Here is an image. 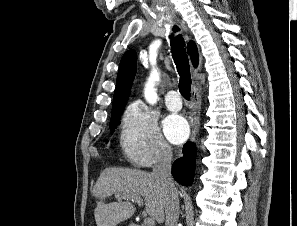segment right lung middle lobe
<instances>
[{
    "label": "right lung middle lobe",
    "mask_w": 297,
    "mask_h": 226,
    "mask_svg": "<svg viewBox=\"0 0 297 226\" xmlns=\"http://www.w3.org/2000/svg\"><path fill=\"white\" fill-rule=\"evenodd\" d=\"M124 107L125 105L112 109V116H111V122H110V128L112 133L114 132V129L116 128L117 124H119V120L124 110Z\"/></svg>",
    "instance_id": "obj_1"
}]
</instances>
